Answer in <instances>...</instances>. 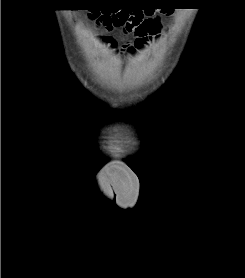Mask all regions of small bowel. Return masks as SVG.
<instances>
[{
  "instance_id": "1",
  "label": "small bowel",
  "mask_w": 245,
  "mask_h": 278,
  "mask_svg": "<svg viewBox=\"0 0 245 278\" xmlns=\"http://www.w3.org/2000/svg\"><path fill=\"white\" fill-rule=\"evenodd\" d=\"M121 1H128V0H121ZM159 35V32L155 35L149 36L147 38H137V40L132 44L128 46H124L120 49L121 52L127 51L130 53H134L138 50H141L144 47V44L147 43L148 40L153 39Z\"/></svg>"
}]
</instances>
